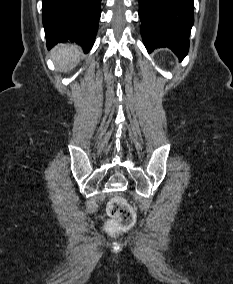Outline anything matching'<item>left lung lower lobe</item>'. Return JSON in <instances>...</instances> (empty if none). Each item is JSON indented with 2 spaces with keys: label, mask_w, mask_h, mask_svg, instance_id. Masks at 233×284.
I'll use <instances>...</instances> for the list:
<instances>
[{
  "label": "left lung lower lobe",
  "mask_w": 233,
  "mask_h": 284,
  "mask_svg": "<svg viewBox=\"0 0 233 284\" xmlns=\"http://www.w3.org/2000/svg\"><path fill=\"white\" fill-rule=\"evenodd\" d=\"M194 0H139L141 35L148 52L168 47L179 59L189 49Z\"/></svg>",
  "instance_id": "0a47b994"
}]
</instances>
